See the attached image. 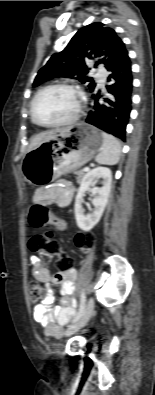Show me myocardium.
<instances>
[{
    "instance_id": "f54148a6",
    "label": "myocardium",
    "mask_w": 155,
    "mask_h": 395,
    "mask_svg": "<svg viewBox=\"0 0 155 395\" xmlns=\"http://www.w3.org/2000/svg\"><path fill=\"white\" fill-rule=\"evenodd\" d=\"M53 88H64V89H69V90L73 91L77 97V106H76L74 113L69 118H67L63 121L55 122V123L44 124V123L39 122L36 119L35 113H34V106H35V102H36L37 98L43 92H45L49 89H53ZM83 104H84L83 94L77 85L68 83V82L51 83V84L45 85L42 88H40L33 96L32 100L30 102V108H29L30 118L35 125L42 127V128H58V127L68 126V125L75 123L79 119L82 109H83Z\"/></svg>"
}]
</instances>
